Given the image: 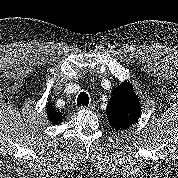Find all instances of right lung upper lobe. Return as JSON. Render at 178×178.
Instances as JSON below:
<instances>
[{
	"label": "right lung upper lobe",
	"instance_id": "1",
	"mask_svg": "<svg viewBox=\"0 0 178 178\" xmlns=\"http://www.w3.org/2000/svg\"><path fill=\"white\" fill-rule=\"evenodd\" d=\"M46 110L48 118L52 124H59L62 121V118H64L62 114L56 111V109L51 104H47Z\"/></svg>",
	"mask_w": 178,
	"mask_h": 178
}]
</instances>
